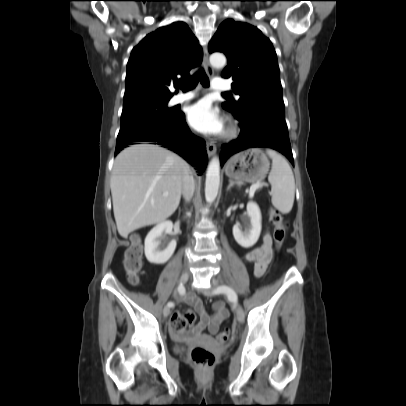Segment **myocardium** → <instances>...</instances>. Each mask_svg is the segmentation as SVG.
Here are the masks:
<instances>
[{
  "instance_id": "myocardium-1",
  "label": "myocardium",
  "mask_w": 406,
  "mask_h": 406,
  "mask_svg": "<svg viewBox=\"0 0 406 406\" xmlns=\"http://www.w3.org/2000/svg\"><path fill=\"white\" fill-rule=\"evenodd\" d=\"M237 133H238L237 125L233 121H229V123L227 124V126L225 128L223 136L225 138H232V137L236 136Z\"/></svg>"
}]
</instances>
